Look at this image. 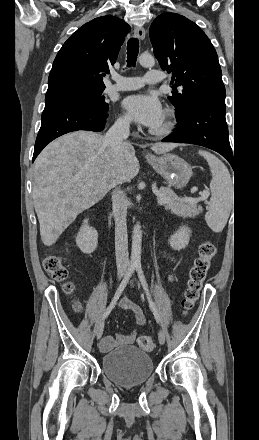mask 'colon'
<instances>
[{"mask_svg":"<svg viewBox=\"0 0 259 440\" xmlns=\"http://www.w3.org/2000/svg\"><path fill=\"white\" fill-rule=\"evenodd\" d=\"M216 253V247L213 242L207 240L199 246V255L195 259L194 264L189 273L187 288L182 300L183 314L186 315L194 307L199 298L202 284L206 278L208 269ZM43 267L45 271L56 281L65 282L63 289L70 294L74 290L71 282H66L69 271L60 255L48 254L43 259ZM139 346L146 350L152 351L156 347L155 340L150 336H141L138 338Z\"/></svg>","mask_w":259,"mask_h":440,"instance_id":"5ec220e1","label":"colon"}]
</instances>
